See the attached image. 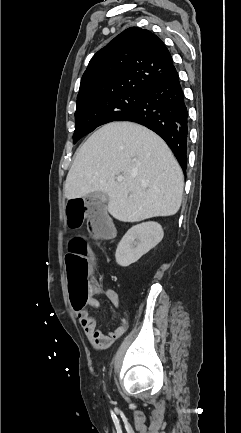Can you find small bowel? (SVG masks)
<instances>
[{
    "label": "small bowel",
    "mask_w": 241,
    "mask_h": 433,
    "mask_svg": "<svg viewBox=\"0 0 241 433\" xmlns=\"http://www.w3.org/2000/svg\"><path fill=\"white\" fill-rule=\"evenodd\" d=\"M104 293L109 299L110 303L115 309H119L120 300L117 292L112 288L102 289L96 282H94L93 297L88 301V305L93 308L101 306L100 301L95 295ZM76 316L84 330V333L90 344L97 350L108 348L115 340L120 338L125 330L126 323L124 320L119 322L108 334H105L98 329L95 319L90 315L88 309L85 312H76Z\"/></svg>",
    "instance_id": "obj_1"
}]
</instances>
